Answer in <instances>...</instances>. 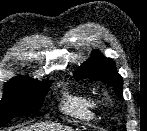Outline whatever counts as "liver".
I'll return each instance as SVG.
<instances>
[{
    "mask_svg": "<svg viewBox=\"0 0 147 131\" xmlns=\"http://www.w3.org/2000/svg\"><path fill=\"white\" fill-rule=\"evenodd\" d=\"M18 131H74L70 126H64L55 122H42L22 127Z\"/></svg>",
    "mask_w": 147,
    "mask_h": 131,
    "instance_id": "6515ba94",
    "label": "liver"
}]
</instances>
